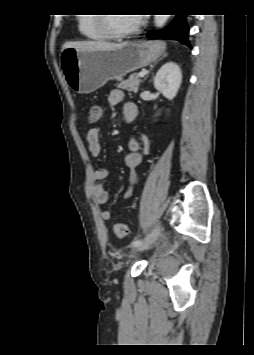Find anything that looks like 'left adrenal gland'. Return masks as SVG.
Masks as SVG:
<instances>
[{
    "label": "left adrenal gland",
    "mask_w": 254,
    "mask_h": 355,
    "mask_svg": "<svg viewBox=\"0 0 254 355\" xmlns=\"http://www.w3.org/2000/svg\"><path fill=\"white\" fill-rule=\"evenodd\" d=\"M166 56H167V54L165 53L161 59H163V58L166 57ZM161 59H160V60H161ZM156 64H157V62H156L154 65H156ZM153 67H154V66H152V67L150 68V70H152ZM147 75H148V74H147ZM147 75H146V77H147ZM146 77H145V79H146Z\"/></svg>",
    "instance_id": "1"
}]
</instances>
